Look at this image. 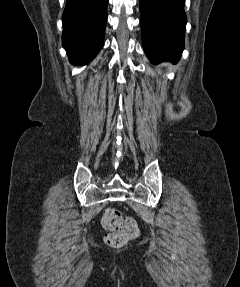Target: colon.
Returning <instances> with one entry per match:
<instances>
[{
  "mask_svg": "<svg viewBox=\"0 0 240 287\" xmlns=\"http://www.w3.org/2000/svg\"><path fill=\"white\" fill-rule=\"evenodd\" d=\"M102 224L109 231L105 236V242L114 248L123 246L139 234L135 220L131 217H123L115 208L106 209L102 217Z\"/></svg>",
  "mask_w": 240,
  "mask_h": 287,
  "instance_id": "obj_1",
  "label": "colon"
}]
</instances>
